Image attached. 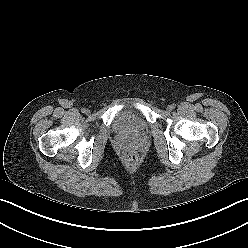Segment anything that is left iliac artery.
Wrapping results in <instances>:
<instances>
[{
	"label": "left iliac artery",
	"instance_id": "1",
	"mask_svg": "<svg viewBox=\"0 0 248 248\" xmlns=\"http://www.w3.org/2000/svg\"><path fill=\"white\" fill-rule=\"evenodd\" d=\"M171 107H172V109H174L176 107V105L175 104H172Z\"/></svg>",
	"mask_w": 248,
	"mask_h": 248
}]
</instances>
